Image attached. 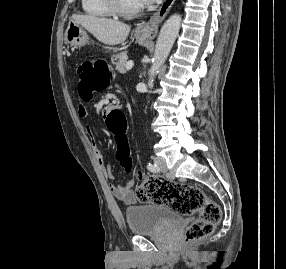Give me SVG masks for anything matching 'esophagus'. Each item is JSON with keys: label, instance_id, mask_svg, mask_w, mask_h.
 <instances>
[{"label": "esophagus", "instance_id": "obj_1", "mask_svg": "<svg viewBox=\"0 0 286 269\" xmlns=\"http://www.w3.org/2000/svg\"><path fill=\"white\" fill-rule=\"evenodd\" d=\"M175 0H164L159 9L147 22H142L136 27V31L146 39H154L158 33L160 24L170 11Z\"/></svg>", "mask_w": 286, "mask_h": 269}]
</instances>
